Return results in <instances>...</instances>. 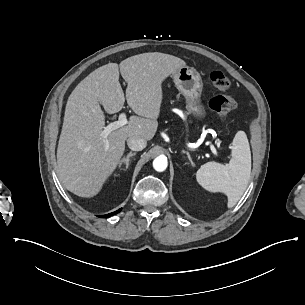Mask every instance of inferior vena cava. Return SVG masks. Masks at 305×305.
I'll list each match as a JSON object with an SVG mask.
<instances>
[{"instance_id": "obj_1", "label": "inferior vena cava", "mask_w": 305, "mask_h": 305, "mask_svg": "<svg viewBox=\"0 0 305 305\" xmlns=\"http://www.w3.org/2000/svg\"><path fill=\"white\" fill-rule=\"evenodd\" d=\"M127 145L133 151H141L146 147L147 142L143 139L129 137L127 140Z\"/></svg>"}]
</instances>
